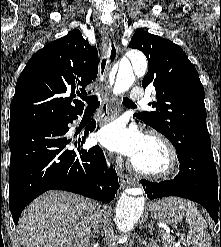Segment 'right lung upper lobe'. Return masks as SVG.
<instances>
[{"instance_id":"cb5924a9","label":"right lung upper lobe","mask_w":221,"mask_h":247,"mask_svg":"<svg viewBox=\"0 0 221 247\" xmlns=\"http://www.w3.org/2000/svg\"><path fill=\"white\" fill-rule=\"evenodd\" d=\"M98 73V52L78 29L48 43L27 62L16 83L10 124L62 123L81 114L85 86Z\"/></svg>"}]
</instances>
